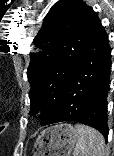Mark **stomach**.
Here are the masks:
<instances>
[{
	"label": "stomach",
	"instance_id": "obj_1",
	"mask_svg": "<svg viewBox=\"0 0 114 156\" xmlns=\"http://www.w3.org/2000/svg\"><path fill=\"white\" fill-rule=\"evenodd\" d=\"M77 143L75 126L60 123L44 129L36 138L33 156H71Z\"/></svg>",
	"mask_w": 114,
	"mask_h": 156
}]
</instances>
